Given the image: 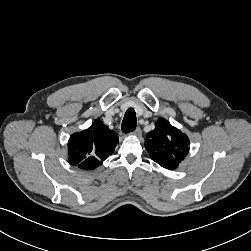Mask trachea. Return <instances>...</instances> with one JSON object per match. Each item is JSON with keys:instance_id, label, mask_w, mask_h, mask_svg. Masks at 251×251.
<instances>
[{"instance_id": "1", "label": "trachea", "mask_w": 251, "mask_h": 251, "mask_svg": "<svg viewBox=\"0 0 251 251\" xmlns=\"http://www.w3.org/2000/svg\"><path fill=\"white\" fill-rule=\"evenodd\" d=\"M137 119L133 108H129L122 121L121 129L124 133H130L136 129Z\"/></svg>"}]
</instances>
